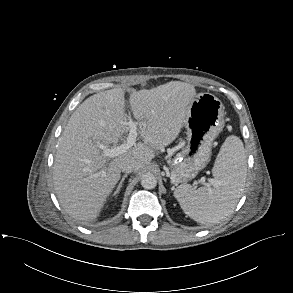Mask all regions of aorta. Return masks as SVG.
I'll return each mask as SVG.
<instances>
[{
  "instance_id": "obj_1",
  "label": "aorta",
  "mask_w": 293,
  "mask_h": 293,
  "mask_svg": "<svg viewBox=\"0 0 293 293\" xmlns=\"http://www.w3.org/2000/svg\"><path fill=\"white\" fill-rule=\"evenodd\" d=\"M141 185L145 189H153L157 185V179L152 173H145L141 177Z\"/></svg>"
}]
</instances>
